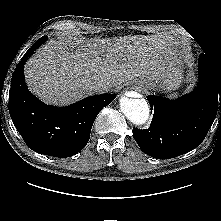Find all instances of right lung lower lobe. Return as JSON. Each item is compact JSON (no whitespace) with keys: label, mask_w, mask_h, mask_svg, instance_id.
<instances>
[{"label":"right lung lower lobe","mask_w":221,"mask_h":221,"mask_svg":"<svg viewBox=\"0 0 221 221\" xmlns=\"http://www.w3.org/2000/svg\"><path fill=\"white\" fill-rule=\"evenodd\" d=\"M45 41L46 36L38 39L18 63L11 81L9 113L30 149L44 155L70 157L88 143L98 113L116 95H94L62 108L46 105L33 96L26 86L23 66Z\"/></svg>","instance_id":"98d812e1"}]
</instances>
